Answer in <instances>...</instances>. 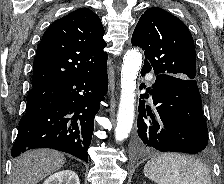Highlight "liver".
Instances as JSON below:
<instances>
[{"label":"liver","instance_id":"obj_1","mask_svg":"<svg viewBox=\"0 0 224 184\" xmlns=\"http://www.w3.org/2000/svg\"><path fill=\"white\" fill-rule=\"evenodd\" d=\"M65 163V156L51 149L27 151L13 162L12 184H37L58 171Z\"/></svg>","mask_w":224,"mask_h":184}]
</instances>
